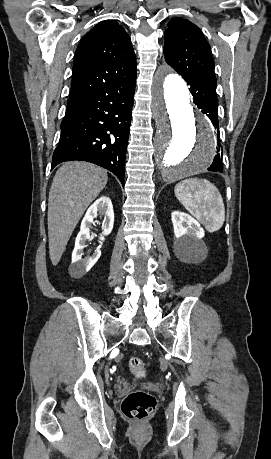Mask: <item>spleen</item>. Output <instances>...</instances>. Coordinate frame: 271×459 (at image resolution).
Returning <instances> with one entry per match:
<instances>
[{"label":"spleen","instance_id":"3e777b00","mask_svg":"<svg viewBox=\"0 0 271 459\" xmlns=\"http://www.w3.org/2000/svg\"><path fill=\"white\" fill-rule=\"evenodd\" d=\"M175 196L207 231H217L225 222L222 196L214 184L201 178H188L176 184Z\"/></svg>","mask_w":271,"mask_h":459}]
</instances>
